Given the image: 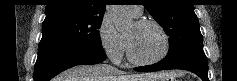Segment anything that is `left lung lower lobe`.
Returning a JSON list of instances; mask_svg holds the SVG:
<instances>
[{
    "label": "left lung lower lobe",
    "mask_w": 237,
    "mask_h": 81,
    "mask_svg": "<svg viewBox=\"0 0 237 81\" xmlns=\"http://www.w3.org/2000/svg\"><path fill=\"white\" fill-rule=\"evenodd\" d=\"M168 69H185L197 74L203 81L208 79V64L204 51L189 54L177 61L165 63L160 61L153 65L137 67L135 71H156Z\"/></svg>",
    "instance_id": "1"
}]
</instances>
